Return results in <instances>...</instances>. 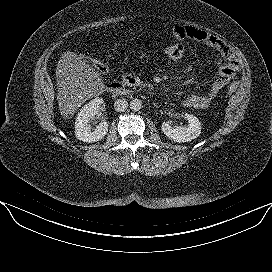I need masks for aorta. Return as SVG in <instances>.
<instances>
[{
  "mask_svg": "<svg viewBox=\"0 0 272 272\" xmlns=\"http://www.w3.org/2000/svg\"><path fill=\"white\" fill-rule=\"evenodd\" d=\"M130 109L132 111H139L142 108V101L138 98H134L130 101Z\"/></svg>",
  "mask_w": 272,
  "mask_h": 272,
  "instance_id": "762f6f07",
  "label": "aorta"
}]
</instances>
